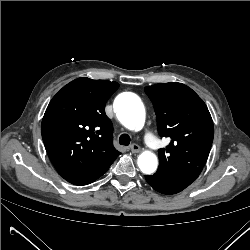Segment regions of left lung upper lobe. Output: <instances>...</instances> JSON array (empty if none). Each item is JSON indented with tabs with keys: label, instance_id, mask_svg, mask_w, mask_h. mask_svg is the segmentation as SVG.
I'll list each match as a JSON object with an SVG mask.
<instances>
[{
	"label": "left lung upper lobe",
	"instance_id": "5c2ea615",
	"mask_svg": "<svg viewBox=\"0 0 250 250\" xmlns=\"http://www.w3.org/2000/svg\"><path fill=\"white\" fill-rule=\"evenodd\" d=\"M153 102L161 137L171 139L166 149H159V167L202 169L208 158L214 127L203 100L188 86L160 83L145 88Z\"/></svg>",
	"mask_w": 250,
	"mask_h": 250
}]
</instances>
